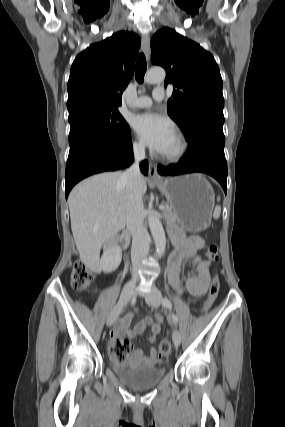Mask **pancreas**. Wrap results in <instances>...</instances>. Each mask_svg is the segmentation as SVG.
I'll use <instances>...</instances> for the list:
<instances>
[{
	"mask_svg": "<svg viewBox=\"0 0 285 427\" xmlns=\"http://www.w3.org/2000/svg\"><path fill=\"white\" fill-rule=\"evenodd\" d=\"M166 208L163 210V216L165 217V219L169 222V223H174L176 222V214L173 211L172 207L169 206L168 204H166L165 206Z\"/></svg>",
	"mask_w": 285,
	"mask_h": 427,
	"instance_id": "1",
	"label": "pancreas"
}]
</instances>
